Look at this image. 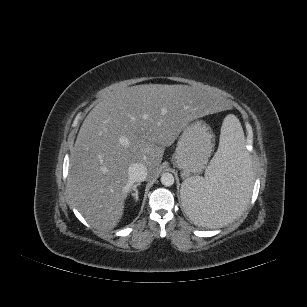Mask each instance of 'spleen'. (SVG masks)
Segmentation results:
<instances>
[{"instance_id": "obj_1", "label": "spleen", "mask_w": 307, "mask_h": 307, "mask_svg": "<svg viewBox=\"0 0 307 307\" xmlns=\"http://www.w3.org/2000/svg\"><path fill=\"white\" fill-rule=\"evenodd\" d=\"M250 158L238 118L225 117L219 147L205 176L187 178L181 185V199L195 224L217 228L233 221L251 194Z\"/></svg>"}]
</instances>
